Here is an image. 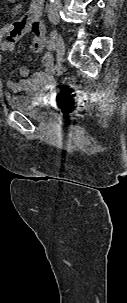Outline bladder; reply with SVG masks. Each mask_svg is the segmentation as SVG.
Segmentation results:
<instances>
[{"mask_svg":"<svg viewBox=\"0 0 127 303\" xmlns=\"http://www.w3.org/2000/svg\"><path fill=\"white\" fill-rule=\"evenodd\" d=\"M6 102L10 109L24 113L35 120H45L48 117L46 104L37 94H7Z\"/></svg>","mask_w":127,"mask_h":303,"instance_id":"31cf9c89","label":"bladder"}]
</instances>
